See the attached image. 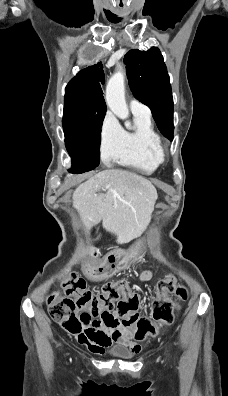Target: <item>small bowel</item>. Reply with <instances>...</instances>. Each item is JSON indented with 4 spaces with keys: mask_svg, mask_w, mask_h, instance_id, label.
Masks as SVG:
<instances>
[{
    "mask_svg": "<svg viewBox=\"0 0 228 396\" xmlns=\"http://www.w3.org/2000/svg\"><path fill=\"white\" fill-rule=\"evenodd\" d=\"M129 256L125 253L109 255L97 268V273L102 276L111 275L123 268L129 262ZM152 278L150 271H143L140 274L141 281H148ZM80 344L86 345L94 353H103L105 348L113 343L123 344L131 348L134 352L141 350V345L133 341L134 332L128 328L113 329L107 327L94 328L86 326L84 330L76 335Z\"/></svg>",
    "mask_w": 228,
    "mask_h": 396,
    "instance_id": "1",
    "label": "small bowel"
}]
</instances>
